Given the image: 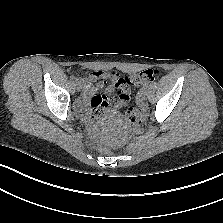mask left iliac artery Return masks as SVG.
<instances>
[{
	"mask_svg": "<svg viewBox=\"0 0 223 223\" xmlns=\"http://www.w3.org/2000/svg\"><path fill=\"white\" fill-rule=\"evenodd\" d=\"M147 88V86L145 85V86H143V89H146Z\"/></svg>",
	"mask_w": 223,
	"mask_h": 223,
	"instance_id": "44dca946",
	"label": "left iliac artery"
}]
</instances>
